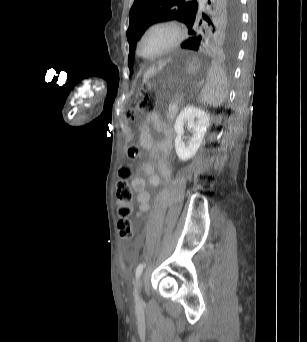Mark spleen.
<instances>
[{
    "label": "spleen",
    "instance_id": "1",
    "mask_svg": "<svg viewBox=\"0 0 307 342\" xmlns=\"http://www.w3.org/2000/svg\"><path fill=\"white\" fill-rule=\"evenodd\" d=\"M209 71L208 83H203V93H200V100L204 104L220 106L227 96V78L216 62L209 66Z\"/></svg>",
    "mask_w": 307,
    "mask_h": 342
}]
</instances>
